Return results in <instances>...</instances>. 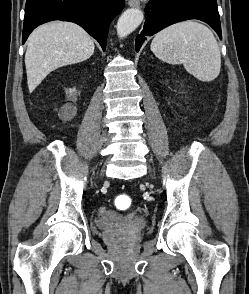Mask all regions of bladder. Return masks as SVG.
Masks as SVG:
<instances>
[{"mask_svg":"<svg viewBox=\"0 0 249 294\" xmlns=\"http://www.w3.org/2000/svg\"><path fill=\"white\" fill-rule=\"evenodd\" d=\"M105 221L107 222V225L105 226V228L108 230H111L115 223L124 221V218L109 216V217L101 220V222H105Z\"/></svg>","mask_w":249,"mask_h":294,"instance_id":"1","label":"bladder"}]
</instances>
